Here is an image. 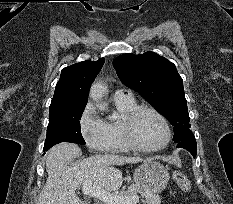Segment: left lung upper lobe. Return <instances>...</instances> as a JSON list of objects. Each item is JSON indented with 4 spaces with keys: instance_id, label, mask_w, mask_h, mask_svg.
Wrapping results in <instances>:
<instances>
[{
    "instance_id": "5c2ea615",
    "label": "left lung upper lobe",
    "mask_w": 233,
    "mask_h": 204,
    "mask_svg": "<svg viewBox=\"0 0 233 204\" xmlns=\"http://www.w3.org/2000/svg\"><path fill=\"white\" fill-rule=\"evenodd\" d=\"M119 79L138 91L174 126L177 147L196 144L190 130L183 80L175 65L154 52L140 55L127 53L113 61Z\"/></svg>"
}]
</instances>
